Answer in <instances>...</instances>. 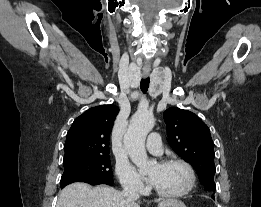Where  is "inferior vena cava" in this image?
Segmentation results:
<instances>
[{"label":"inferior vena cava","instance_id":"1","mask_svg":"<svg viewBox=\"0 0 261 207\" xmlns=\"http://www.w3.org/2000/svg\"><path fill=\"white\" fill-rule=\"evenodd\" d=\"M122 194L128 200H137L139 198V194L135 184H126L124 186Z\"/></svg>","mask_w":261,"mask_h":207}]
</instances>
